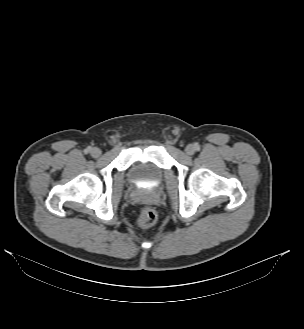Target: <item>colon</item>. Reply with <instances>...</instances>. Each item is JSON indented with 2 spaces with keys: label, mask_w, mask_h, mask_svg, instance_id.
<instances>
[{
  "label": "colon",
  "mask_w": 304,
  "mask_h": 329,
  "mask_svg": "<svg viewBox=\"0 0 304 329\" xmlns=\"http://www.w3.org/2000/svg\"><path fill=\"white\" fill-rule=\"evenodd\" d=\"M156 219V212L150 207H144L138 216L137 225L140 228H149L155 224Z\"/></svg>",
  "instance_id": "5ec220e1"
}]
</instances>
